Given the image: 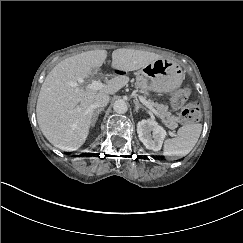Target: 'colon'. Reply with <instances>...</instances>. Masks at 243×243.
<instances>
[{"label":"colon","mask_w":243,"mask_h":243,"mask_svg":"<svg viewBox=\"0 0 243 243\" xmlns=\"http://www.w3.org/2000/svg\"><path fill=\"white\" fill-rule=\"evenodd\" d=\"M190 91L187 87L178 89L171 97L170 107L172 111L180 112V119L182 123H195L201 118V111L198 103L189 102Z\"/></svg>","instance_id":"obj_1"}]
</instances>
